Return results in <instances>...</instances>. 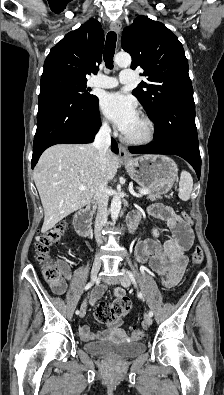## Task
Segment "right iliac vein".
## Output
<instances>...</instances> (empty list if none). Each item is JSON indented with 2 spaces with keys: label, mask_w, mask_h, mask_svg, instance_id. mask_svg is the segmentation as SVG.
<instances>
[{
  "label": "right iliac vein",
  "mask_w": 224,
  "mask_h": 395,
  "mask_svg": "<svg viewBox=\"0 0 224 395\" xmlns=\"http://www.w3.org/2000/svg\"><path fill=\"white\" fill-rule=\"evenodd\" d=\"M101 268V260L99 257H96L93 265H92V270H91V280L94 281L97 277V274L99 273ZM86 313V303L84 302L83 305L81 306V311H80V317H84Z\"/></svg>",
  "instance_id": "right-iliac-vein-1"
}]
</instances>
